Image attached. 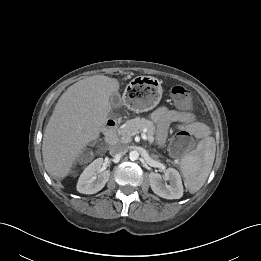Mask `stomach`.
<instances>
[{
	"label": "stomach",
	"mask_w": 261,
	"mask_h": 261,
	"mask_svg": "<svg viewBox=\"0 0 261 261\" xmlns=\"http://www.w3.org/2000/svg\"><path fill=\"white\" fill-rule=\"evenodd\" d=\"M162 97V87L158 79L140 77L133 79L127 86L123 102L136 113L152 110Z\"/></svg>",
	"instance_id": "stomach-1"
}]
</instances>
